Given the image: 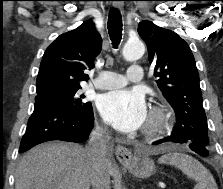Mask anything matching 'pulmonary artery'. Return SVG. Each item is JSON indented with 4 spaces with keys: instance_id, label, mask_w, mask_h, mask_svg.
<instances>
[{
    "instance_id": "e3ab8cb5",
    "label": "pulmonary artery",
    "mask_w": 223,
    "mask_h": 189,
    "mask_svg": "<svg viewBox=\"0 0 223 189\" xmlns=\"http://www.w3.org/2000/svg\"><path fill=\"white\" fill-rule=\"evenodd\" d=\"M144 72L139 65H132L126 75L111 71H102L98 79L93 81L92 85L98 89L120 88L128 83H137L143 80Z\"/></svg>"
}]
</instances>
